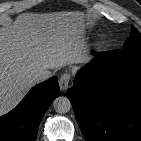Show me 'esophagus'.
<instances>
[{
    "label": "esophagus",
    "mask_w": 141,
    "mask_h": 141,
    "mask_svg": "<svg viewBox=\"0 0 141 141\" xmlns=\"http://www.w3.org/2000/svg\"><path fill=\"white\" fill-rule=\"evenodd\" d=\"M70 79H71V74L70 73H64L60 77V79H59V87H60L61 91H66L68 89Z\"/></svg>",
    "instance_id": "esophagus-1"
}]
</instances>
